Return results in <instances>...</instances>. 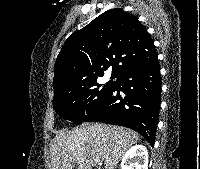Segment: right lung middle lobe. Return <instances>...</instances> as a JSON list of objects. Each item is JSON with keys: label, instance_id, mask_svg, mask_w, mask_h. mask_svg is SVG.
Wrapping results in <instances>:
<instances>
[{"label": "right lung middle lobe", "instance_id": "dd1d6c3e", "mask_svg": "<svg viewBox=\"0 0 200 169\" xmlns=\"http://www.w3.org/2000/svg\"><path fill=\"white\" fill-rule=\"evenodd\" d=\"M113 84L114 81H109L101 87L93 80L72 94L53 99L54 109L62 118L79 123L103 105Z\"/></svg>", "mask_w": 200, "mask_h": 169}]
</instances>
